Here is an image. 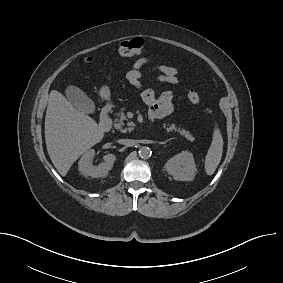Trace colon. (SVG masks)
I'll list each match as a JSON object with an SVG mask.
<instances>
[{
	"label": "colon",
	"mask_w": 283,
	"mask_h": 283,
	"mask_svg": "<svg viewBox=\"0 0 283 283\" xmlns=\"http://www.w3.org/2000/svg\"><path fill=\"white\" fill-rule=\"evenodd\" d=\"M144 48L145 42L143 39L133 38L120 42L116 47V52L121 57H130L140 54L144 50ZM187 97L193 104H198L201 101L199 93L193 89L188 91Z\"/></svg>",
	"instance_id": "1"
}]
</instances>
